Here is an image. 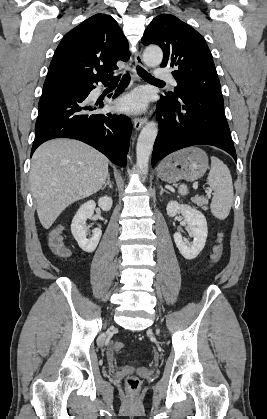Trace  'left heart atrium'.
Returning <instances> with one entry per match:
<instances>
[{"label": "left heart atrium", "mask_w": 267, "mask_h": 419, "mask_svg": "<svg viewBox=\"0 0 267 419\" xmlns=\"http://www.w3.org/2000/svg\"><path fill=\"white\" fill-rule=\"evenodd\" d=\"M148 96L143 90H136L120 98L116 106L119 110L133 113L142 112L147 108Z\"/></svg>", "instance_id": "left-heart-atrium-1"}]
</instances>
